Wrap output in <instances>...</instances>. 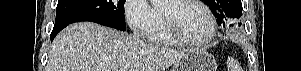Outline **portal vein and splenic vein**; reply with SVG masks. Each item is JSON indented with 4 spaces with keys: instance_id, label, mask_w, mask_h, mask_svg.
<instances>
[{
    "instance_id": "1",
    "label": "portal vein and splenic vein",
    "mask_w": 301,
    "mask_h": 71,
    "mask_svg": "<svg viewBox=\"0 0 301 71\" xmlns=\"http://www.w3.org/2000/svg\"><path fill=\"white\" fill-rule=\"evenodd\" d=\"M128 66L127 65H125V66H122L121 68H120V71H128Z\"/></svg>"
}]
</instances>
